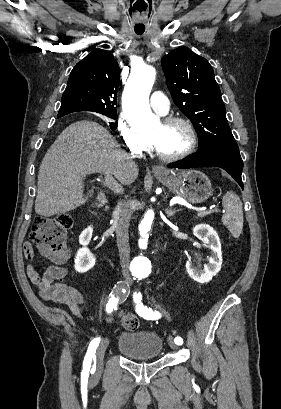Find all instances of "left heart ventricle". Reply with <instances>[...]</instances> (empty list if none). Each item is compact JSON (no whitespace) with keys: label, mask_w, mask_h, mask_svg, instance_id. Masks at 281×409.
<instances>
[{"label":"left heart ventricle","mask_w":281,"mask_h":409,"mask_svg":"<svg viewBox=\"0 0 281 409\" xmlns=\"http://www.w3.org/2000/svg\"><path fill=\"white\" fill-rule=\"evenodd\" d=\"M146 138L152 141L159 151L167 155L183 151L189 142L187 130L178 123L163 126L160 122L147 133Z\"/></svg>","instance_id":"left-heart-ventricle-1"}]
</instances>
